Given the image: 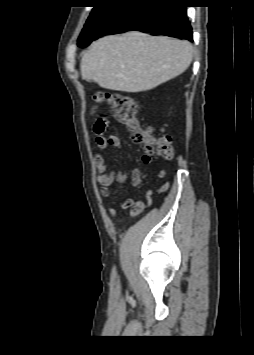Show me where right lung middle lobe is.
Returning <instances> with one entry per match:
<instances>
[{
  "mask_svg": "<svg viewBox=\"0 0 254 355\" xmlns=\"http://www.w3.org/2000/svg\"><path fill=\"white\" fill-rule=\"evenodd\" d=\"M118 5V3L114 2H104L93 6L94 8L82 30L79 40L92 41Z\"/></svg>",
  "mask_w": 254,
  "mask_h": 355,
  "instance_id": "dd1d6c3e",
  "label": "right lung middle lobe"
}]
</instances>
